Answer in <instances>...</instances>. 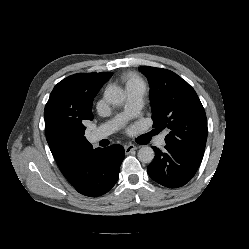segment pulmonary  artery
I'll return each mask as SVG.
<instances>
[{
	"mask_svg": "<svg viewBox=\"0 0 249 249\" xmlns=\"http://www.w3.org/2000/svg\"><path fill=\"white\" fill-rule=\"evenodd\" d=\"M144 92V88L140 87L127 89L128 101L126 113L119 116L113 123L101 125L100 127L91 131L89 135L90 141L95 143L108 137L126 119V117L136 115L142 106ZM155 144L160 148H163L166 145L164 133L156 136Z\"/></svg>",
	"mask_w": 249,
	"mask_h": 249,
	"instance_id": "pulmonary-artery-1",
	"label": "pulmonary artery"
}]
</instances>
